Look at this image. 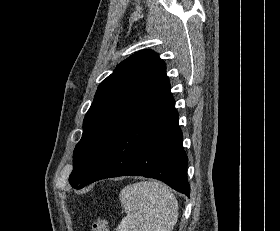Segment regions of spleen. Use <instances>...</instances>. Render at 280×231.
Segmentation results:
<instances>
[{"mask_svg": "<svg viewBox=\"0 0 280 231\" xmlns=\"http://www.w3.org/2000/svg\"><path fill=\"white\" fill-rule=\"evenodd\" d=\"M119 199L127 215L117 231H172L178 219V201L161 181L125 185Z\"/></svg>", "mask_w": 280, "mask_h": 231, "instance_id": "1", "label": "spleen"}]
</instances>
